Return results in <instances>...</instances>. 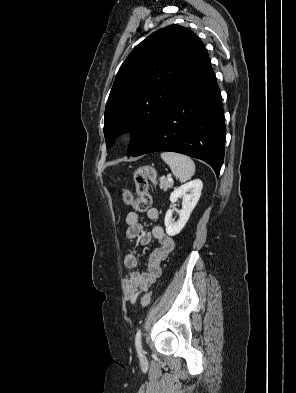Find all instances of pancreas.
Instances as JSON below:
<instances>
[{
    "instance_id": "1",
    "label": "pancreas",
    "mask_w": 296,
    "mask_h": 393,
    "mask_svg": "<svg viewBox=\"0 0 296 393\" xmlns=\"http://www.w3.org/2000/svg\"><path fill=\"white\" fill-rule=\"evenodd\" d=\"M159 185L160 188L163 189L164 191L170 189L173 186V182H169L168 179L161 177L159 179Z\"/></svg>"
}]
</instances>
